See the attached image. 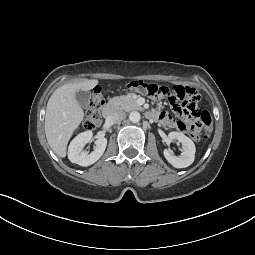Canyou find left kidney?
Here are the masks:
<instances>
[{
	"label": "left kidney",
	"instance_id": "5707ae66",
	"mask_svg": "<svg viewBox=\"0 0 255 255\" xmlns=\"http://www.w3.org/2000/svg\"><path fill=\"white\" fill-rule=\"evenodd\" d=\"M170 140H178L182 144V153L175 156L170 150H164L166 160L175 168H186L190 166L195 159V144L181 132H170L168 135Z\"/></svg>",
	"mask_w": 255,
	"mask_h": 255
}]
</instances>
